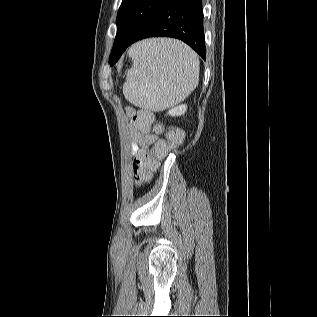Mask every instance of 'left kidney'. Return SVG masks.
Listing matches in <instances>:
<instances>
[{
	"label": "left kidney",
	"mask_w": 317,
	"mask_h": 317,
	"mask_svg": "<svg viewBox=\"0 0 317 317\" xmlns=\"http://www.w3.org/2000/svg\"><path fill=\"white\" fill-rule=\"evenodd\" d=\"M186 110H187V105L182 104V105L169 109L168 114L170 116H181L186 112Z\"/></svg>",
	"instance_id": "1"
}]
</instances>
